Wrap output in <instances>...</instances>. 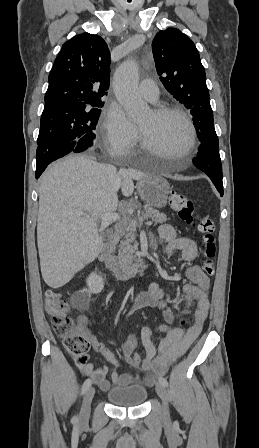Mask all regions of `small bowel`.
<instances>
[{
  "label": "small bowel",
  "mask_w": 259,
  "mask_h": 448,
  "mask_svg": "<svg viewBox=\"0 0 259 448\" xmlns=\"http://www.w3.org/2000/svg\"><path fill=\"white\" fill-rule=\"evenodd\" d=\"M159 239L165 244L166 253L171 255L176 250L181 251L182 260L188 263L185 269V276L188 280L183 286L185 295V309H189L196 303L197 307L194 313V324L188 328L176 327L173 325V312L166 305L164 293L158 283L152 282L147 291L141 293L136 300L135 308L126 314L129 319L135 309L141 307L159 308L163 311L164 323L159 326V331L164 333L158 349L151 341L152 329L144 327L141 330V341L145 349V358L141 363H135L132 360V353L137 346V338L134 334L127 335L121 346V352L125 361L133 367L141 369L145 376L142 383L151 386L157 375L165 374L169 366L183 356L202 332L203 324L209 311V278L201 267L190 264L198 255V244L188 237L178 236L174 228L169 224H163L159 227ZM87 338L93 349L100 353L110 364L119 367L120 364L114 353L101 343L97 337L88 333ZM75 363L84 376L90 377L102 391H108L111 384L117 386H127L138 381L134 373L113 371L111 380L107 378L109 366L95 367L89 362L88 356L75 358Z\"/></svg>",
  "instance_id": "obj_1"
}]
</instances>
